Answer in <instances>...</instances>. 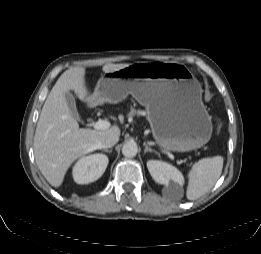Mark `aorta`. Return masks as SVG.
Segmentation results:
<instances>
[{
    "instance_id": "aorta-1",
    "label": "aorta",
    "mask_w": 261,
    "mask_h": 254,
    "mask_svg": "<svg viewBox=\"0 0 261 254\" xmlns=\"http://www.w3.org/2000/svg\"><path fill=\"white\" fill-rule=\"evenodd\" d=\"M138 147L135 142H127L122 147V154L127 158H132L137 155Z\"/></svg>"
}]
</instances>
